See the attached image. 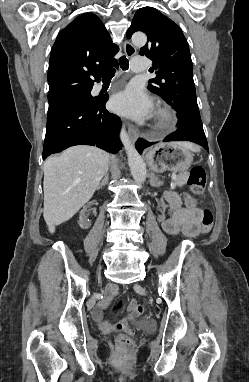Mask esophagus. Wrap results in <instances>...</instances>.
I'll use <instances>...</instances> for the list:
<instances>
[{
  "label": "esophagus",
  "instance_id": "esophagus-1",
  "mask_svg": "<svg viewBox=\"0 0 249 382\" xmlns=\"http://www.w3.org/2000/svg\"><path fill=\"white\" fill-rule=\"evenodd\" d=\"M124 52H125L126 56L132 57L136 53V48L129 41H125L124 42ZM128 133L130 135L132 142H135L138 138L137 130L132 125H129L128 126Z\"/></svg>",
  "mask_w": 249,
  "mask_h": 382
}]
</instances>
